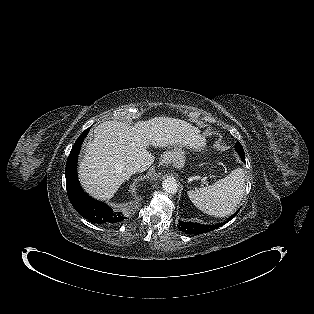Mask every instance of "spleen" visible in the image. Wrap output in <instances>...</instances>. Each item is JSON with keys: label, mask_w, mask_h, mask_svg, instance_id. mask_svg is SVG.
Masks as SVG:
<instances>
[{"label": "spleen", "mask_w": 314, "mask_h": 314, "mask_svg": "<svg viewBox=\"0 0 314 314\" xmlns=\"http://www.w3.org/2000/svg\"><path fill=\"white\" fill-rule=\"evenodd\" d=\"M244 190V171L238 168L210 186L188 191V197L202 212L214 217H224L236 210Z\"/></svg>", "instance_id": "spleen-1"}]
</instances>
